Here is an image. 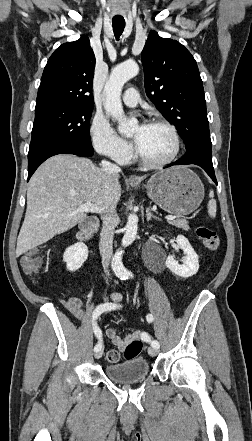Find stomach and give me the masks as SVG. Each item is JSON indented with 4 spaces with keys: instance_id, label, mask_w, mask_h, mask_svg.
Instances as JSON below:
<instances>
[{
    "instance_id": "0dacf381",
    "label": "stomach",
    "mask_w": 252,
    "mask_h": 441,
    "mask_svg": "<svg viewBox=\"0 0 252 441\" xmlns=\"http://www.w3.org/2000/svg\"><path fill=\"white\" fill-rule=\"evenodd\" d=\"M144 187L155 204L179 217L196 210L204 198V185L200 178L184 166L155 173Z\"/></svg>"
}]
</instances>
